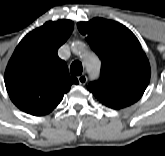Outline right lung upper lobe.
<instances>
[{"mask_svg": "<svg viewBox=\"0 0 165 156\" xmlns=\"http://www.w3.org/2000/svg\"><path fill=\"white\" fill-rule=\"evenodd\" d=\"M73 28L70 20L49 21L28 33L16 47L4 81L12 102L22 111L34 116L48 114L71 85L79 83L57 54Z\"/></svg>", "mask_w": 165, "mask_h": 156, "instance_id": "right-lung-upper-lobe-1", "label": "right lung upper lobe"}]
</instances>
